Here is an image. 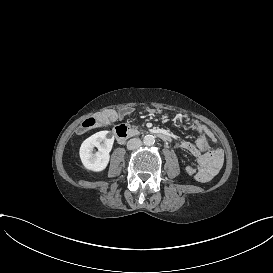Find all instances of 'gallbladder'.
Listing matches in <instances>:
<instances>
[{
    "mask_svg": "<svg viewBox=\"0 0 273 273\" xmlns=\"http://www.w3.org/2000/svg\"><path fill=\"white\" fill-rule=\"evenodd\" d=\"M136 113V108L135 107H128L123 109V114L124 115H129V114H135ZM123 114H121V117H123Z\"/></svg>",
    "mask_w": 273,
    "mask_h": 273,
    "instance_id": "gallbladder-1",
    "label": "gallbladder"
}]
</instances>
